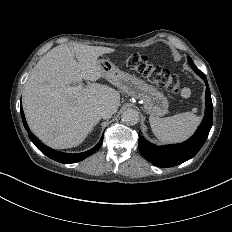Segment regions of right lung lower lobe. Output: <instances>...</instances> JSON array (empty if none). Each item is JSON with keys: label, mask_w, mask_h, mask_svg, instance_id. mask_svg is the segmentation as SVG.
I'll use <instances>...</instances> for the list:
<instances>
[{"label": "right lung lower lobe", "mask_w": 232, "mask_h": 232, "mask_svg": "<svg viewBox=\"0 0 232 232\" xmlns=\"http://www.w3.org/2000/svg\"><path fill=\"white\" fill-rule=\"evenodd\" d=\"M20 111H21V116H22V121H23L24 127L29 133L28 136H29L30 140L34 143V145L42 153H44L46 156H48L49 158H51L55 161H58L60 163H66V164L79 162V161L87 158L88 156L94 154L96 151L99 150V148L102 145L103 136L101 137L99 143L95 147H93L91 150L83 152V153L69 154V153H63V152L53 150V149L45 146L43 143H41V141L38 138H36L35 135H33V133L30 132V129L25 121V116L23 113L22 106L20 107Z\"/></svg>", "instance_id": "98d812e1"}]
</instances>
